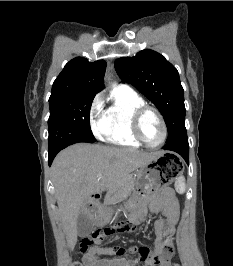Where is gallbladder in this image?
I'll return each mask as SVG.
<instances>
[{"label": "gallbladder", "mask_w": 233, "mask_h": 266, "mask_svg": "<svg viewBox=\"0 0 233 266\" xmlns=\"http://www.w3.org/2000/svg\"><path fill=\"white\" fill-rule=\"evenodd\" d=\"M93 229H94V224L92 219L83 210H81L77 218L78 236L80 237L88 236L93 231Z\"/></svg>", "instance_id": "gallbladder-1"}]
</instances>
